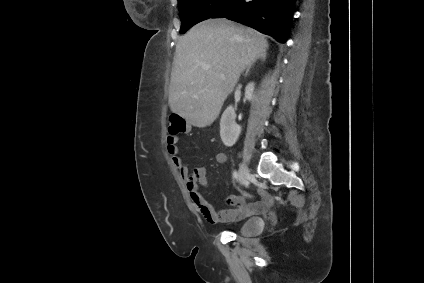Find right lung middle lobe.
Returning <instances> with one entry per match:
<instances>
[{
    "mask_svg": "<svg viewBox=\"0 0 424 283\" xmlns=\"http://www.w3.org/2000/svg\"><path fill=\"white\" fill-rule=\"evenodd\" d=\"M230 0H178L181 18L180 33L184 34L193 25L211 18L224 8Z\"/></svg>",
    "mask_w": 424,
    "mask_h": 283,
    "instance_id": "obj_1",
    "label": "right lung middle lobe"
}]
</instances>
